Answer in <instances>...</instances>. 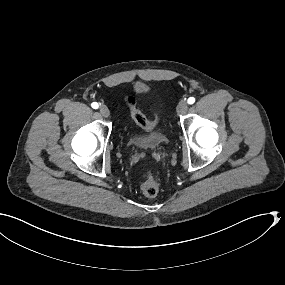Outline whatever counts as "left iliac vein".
Wrapping results in <instances>:
<instances>
[{
	"instance_id": "4c4485c4",
	"label": "left iliac vein",
	"mask_w": 285,
	"mask_h": 285,
	"mask_svg": "<svg viewBox=\"0 0 285 285\" xmlns=\"http://www.w3.org/2000/svg\"><path fill=\"white\" fill-rule=\"evenodd\" d=\"M188 110V104L186 101L182 100L179 102L178 106H177V113L179 115H184Z\"/></svg>"
}]
</instances>
